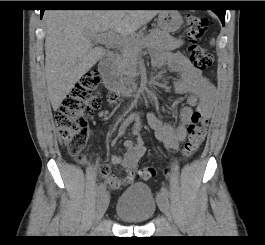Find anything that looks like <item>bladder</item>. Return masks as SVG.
Returning <instances> with one entry per match:
<instances>
[{"label":"bladder","mask_w":265,"mask_h":245,"mask_svg":"<svg viewBox=\"0 0 265 245\" xmlns=\"http://www.w3.org/2000/svg\"><path fill=\"white\" fill-rule=\"evenodd\" d=\"M158 201L149 187L144 184H133L120 195L115 214L124 223L143 224L155 213Z\"/></svg>","instance_id":"1"}]
</instances>
